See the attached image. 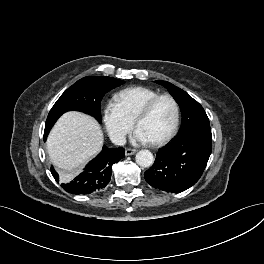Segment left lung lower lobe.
Returning <instances> with one entry per match:
<instances>
[{
    "label": "left lung lower lobe",
    "mask_w": 264,
    "mask_h": 264,
    "mask_svg": "<svg viewBox=\"0 0 264 264\" xmlns=\"http://www.w3.org/2000/svg\"><path fill=\"white\" fill-rule=\"evenodd\" d=\"M212 150L210 127H201L176 136L157 153L153 166L144 173L154 188L179 193L201 177Z\"/></svg>",
    "instance_id": "left-lung-lower-lobe-1"
}]
</instances>
